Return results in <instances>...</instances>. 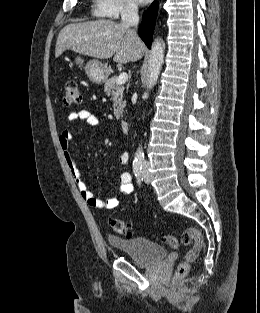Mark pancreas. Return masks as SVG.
<instances>
[{
  "instance_id": "obj_1",
  "label": "pancreas",
  "mask_w": 260,
  "mask_h": 313,
  "mask_svg": "<svg viewBox=\"0 0 260 313\" xmlns=\"http://www.w3.org/2000/svg\"><path fill=\"white\" fill-rule=\"evenodd\" d=\"M117 76L105 81L104 92L112 97L114 115L117 120L123 117V110L126 102L123 101L124 87L116 85Z\"/></svg>"
}]
</instances>
